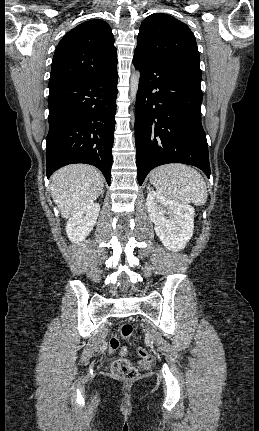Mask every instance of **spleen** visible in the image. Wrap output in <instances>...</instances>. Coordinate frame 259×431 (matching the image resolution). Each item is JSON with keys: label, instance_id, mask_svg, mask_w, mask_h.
Masks as SVG:
<instances>
[{"label": "spleen", "instance_id": "3e777b00", "mask_svg": "<svg viewBox=\"0 0 259 431\" xmlns=\"http://www.w3.org/2000/svg\"><path fill=\"white\" fill-rule=\"evenodd\" d=\"M150 182L163 196L196 206L206 203L208 193L206 183L201 174L194 168L179 164L159 166L150 173Z\"/></svg>", "mask_w": 259, "mask_h": 431}]
</instances>
